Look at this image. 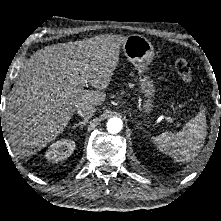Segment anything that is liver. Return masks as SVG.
Returning <instances> with one entry per match:
<instances>
[{"label": "liver", "instance_id": "1", "mask_svg": "<svg viewBox=\"0 0 221 221\" xmlns=\"http://www.w3.org/2000/svg\"><path fill=\"white\" fill-rule=\"evenodd\" d=\"M127 37L100 35L53 44L22 67L9 97L4 130L14 154L29 157L59 136L82 105L100 106ZM89 85H81L82 71Z\"/></svg>", "mask_w": 221, "mask_h": 221}]
</instances>
